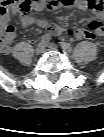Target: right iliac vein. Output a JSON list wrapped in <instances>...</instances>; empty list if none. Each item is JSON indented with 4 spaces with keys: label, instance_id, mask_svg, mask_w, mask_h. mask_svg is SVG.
<instances>
[{
    "label": "right iliac vein",
    "instance_id": "right-iliac-vein-1",
    "mask_svg": "<svg viewBox=\"0 0 104 137\" xmlns=\"http://www.w3.org/2000/svg\"><path fill=\"white\" fill-rule=\"evenodd\" d=\"M42 51H43V45L42 44L37 45V47L35 48V53L40 54L42 53Z\"/></svg>",
    "mask_w": 104,
    "mask_h": 137
}]
</instances>
